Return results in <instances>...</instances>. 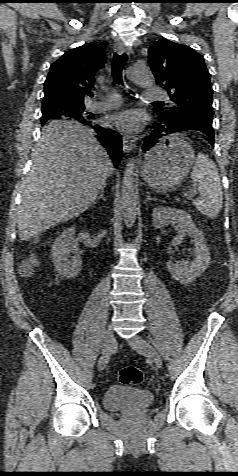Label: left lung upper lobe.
Masks as SVG:
<instances>
[{
  "label": "left lung upper lobe",
  "mask_w": 238,
  "mask_h": 476,
  "mask_svg": "<svg viewBox=\"0 0 238 476\" xmlns=\"http://www.w3.org/2000/svg\"><path fill=\"white\" fill-rule=\"evenodd\" d=\"M149 64L156 82L167 90L175 106L159 117L200 115L213 118V90L203 57L186 45L160 39L150 46Z\"/></svg>",
  "instance_id": "obj_1"
}]
</instances>
